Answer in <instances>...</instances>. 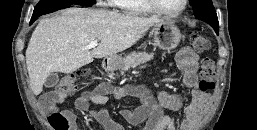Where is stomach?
Segmentation results:
<instances>
[{"instance_id": "obj_1", "label": "stomach", "mask_w": 257, "mask_h": 130, "mask_svg": "<svg viewBox=\"0 0 257 130\" xmlns=\"http://www.w3.org/2000/svg\"><path fill=\"white\" fill-rule=\"evenodd\" d=\"M151 35L154 45L167 51L176 48L182 38L179 28L170 20L155 24L152 27ZM122 61V56L115 54L105 57L102 65L105 70L114 72L121 68Z\"/></svg>"}]
</instances>
